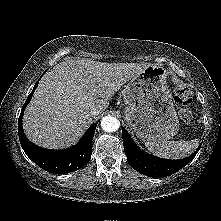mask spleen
<instances>
[{
	"label": "spleen",
	"instance_id": "spleen-1",
	"mask_svg": "<svg viewBox=\"0 0 221 221\" xmlns=\"http://www.w3.org/2000/svg\"><path fill=\"white\" fill-rule=\"evenodd\" d=\"M199 141L146 142V148L155 155L167 159H180L189 156L198 147Z\"/></svg>",
	"mask_w": 221,
	"mask_h": 221
}]
</instances>
